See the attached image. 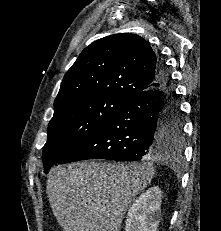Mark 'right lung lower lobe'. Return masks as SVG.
Segmentation results:
<instances>
[{"label":"right lung lower lobe","mask_w":221,"mask_h":231,"mask_svg":"<svg viewBox=\"0 0 221 231\" xmlns=\"http://www.w3.org/2000/svg\"><path fill=\"white\" fill-rule=\"evenodd\" d=\"M158 82L127 99L102 125L58 164L108 159L137 161L152 158L175 146L164 137L171 107L179 108L170 76L160 59Z\"/></svg>","instance_id":"right-lung-lower-lobe-1"}]
</instances>
